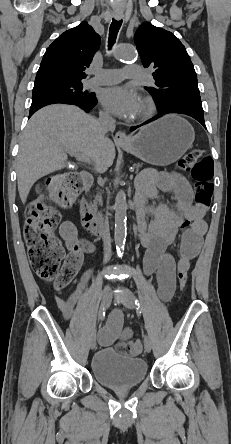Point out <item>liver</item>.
Segmentation results:
<instances>
[{"label":"liver","mask_w":231,"mask_h":444,"mask_svg":"<svg viewBox=\"0 0 231 444\" xmlns=\"http://www.w3.org/2000/svg\"><path fill=\"white\" fill-rule=\"evenodd\" d=\"M98 121L80 108L54 104L37 111L23 131L16 160L18 192L24 203L33 184L63 168L67 153L86 155L105 170L115 158V146Z\"/></svg>","instance_id":"obj_1"}]
</instances>
